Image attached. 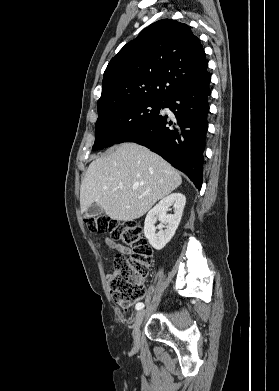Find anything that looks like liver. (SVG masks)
Listing matches in <instances>:
<instances>
[{
  "label": "liver",
  "mask_w": 279,
  "mask_h": 391,
  "mask_svg": "<svg viewBox=\"0 0 279 391\" xmlns=\"http://www.w3.org/2000/svg\"><path fill=\"white\" fill-rule=\"evenodd\" d=\"M181 183L179 172L158 154L123 143L90 163L80 188L81 212L96 203L112 219L132 221Z\"/></svg>",
  "instance_id": "liver-1"
}]
</instances>
